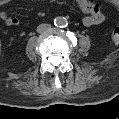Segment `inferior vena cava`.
I'll return each mask as SVG.
<instances>
[{"instance_id": "obj_1", "label": "inferior vena cava", "mask_w": 119, "mask_h": 119, "mask_svg": "<svg viewBox=\"0 0 119 119\" xmlns=\"http://www.w3.org/2000/svg\"><path fill=\"white\" fill-rule=\"evenodd\" d=\"M51 29V25L50 24H40L38 27H37V32L38 33H44V32H47Z\"/></svg>"}]
</instances>
